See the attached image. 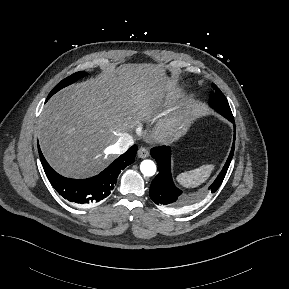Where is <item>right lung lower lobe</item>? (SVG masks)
Here are the masks:
<instances>
[{
    "label": "right lung lower lobe",
    "mask_w": 289,
    "mask_h": 289,
    "mask_svg": "<svg viewBox=\"0 0 289 289\" xmlns=\"http://www.w3.org/2000/svg\"><path fill=\"white\" fill-rule=\"evenodd\" d=\"M38 150L45 174L54 189L70 202L92 205L111 193L121 170L134 162L137 145L130 147L100 174L84 180L70 179L59 175L47 163L39 147Z\"/></svg>",
    "instance_id": "right-lung-lower-lobe-1"
}]
</instances>
